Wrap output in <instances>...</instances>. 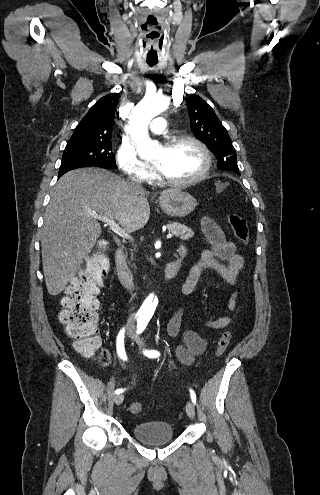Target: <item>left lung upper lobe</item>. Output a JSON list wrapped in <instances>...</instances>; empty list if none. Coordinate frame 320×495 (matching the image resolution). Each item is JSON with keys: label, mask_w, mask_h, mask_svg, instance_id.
I'll return each mask as SVG.
<instances>
[{"label": "left lung upper lobe", "mask_w": 320, "mask_h": 495, "mask_svg": "<svg viewBox=\"0 0 320 495\" xmlns=\"http://www.w3.org/2000/svg\"><path fill=\"white\" fill-rule=\"evenodd\" d=\"M186 105L190 127L196 138L207 145L218 158L217 168L240 174L232 141L211 106L197 95H191Z\"/></svg>", "instance_id": "5c2ea615"}]
</instances>
